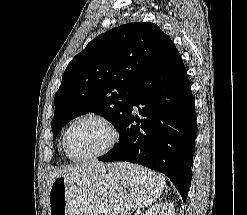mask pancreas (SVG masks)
I'll return each mask as SVG.
<instances>
[{
  "instance_id": "pancreas-1",
  "label": "pancreas",
  "mask_w": 247,
  "mask_h": 215,
  "mask_svg": "<svg viewBox=\"0 0 247 215\" xmlns=\"http://www.w3.org/2000/svg\"><path fill=\"white\" fill-rule=\"evenodd\" d=\"M121 215H130V214H127V213H123V214H121Z\"/></svg>"
}]
</instances>
